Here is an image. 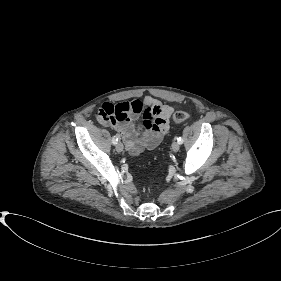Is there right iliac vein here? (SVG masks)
I'll return each instance as SVG.
<instances>
[{
    "instance_id": "1",
    "label": "right iliac vein",
    "mask_w": 281,
    "mask_h": 281,
    "mask_svg": "<svg viewBox=\"0 0 281 281\" xmlns=\"http://www.w3.org/2000/svg\"><path fill=\"white\" fill-rule=\"evenodd\" d=\"M116 151L119 153L123 151V144L121 142L116 144Z\"/></svg>"
}]
</instances>
